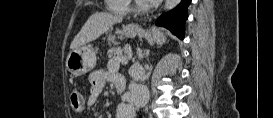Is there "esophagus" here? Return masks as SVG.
<instances>
[{"label": "esophagus", "mask_w": 273, "mask_h": 118, "mask_svg": "<svg viewBox=\"0 0 273 118\" xmlns=\"http://www.w3.org/2000/svg\"><path fill=\"white\" fill-rule=\"evenodd\" d=\"M134 27H138V25H133Z\"/></svg>", "instance_id": "1"}]
</instances>
